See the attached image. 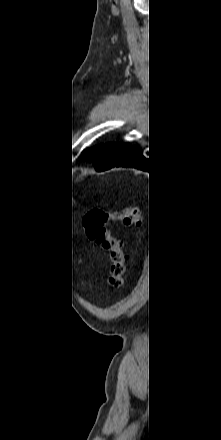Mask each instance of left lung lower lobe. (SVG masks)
<instances>
[{
    "instance_id": "0a47b994",
    "label": "left lung lower lobe",
    "mask_w": 221,
    "mask_h": 440,
    "mask_svg": "<svg viewBox=\"0 0 221 440\" xmlns=\"http://www.w3.org/2000/svg\"><path fill=\"white\" fill-rule=\"evenodd\" d=\"M113 167H132L151 172L153 165L150 161H148V159H146L138 146H130L124 157L108 169Z\"/></svg>"
}]
</instances>
